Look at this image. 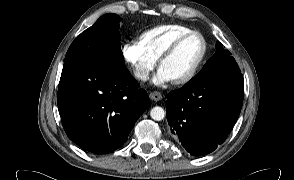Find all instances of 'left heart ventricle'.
I'll return each instance as SVG.
<instances>
[{
    "instance_id": "left-heart-ventricle-1",
    "label": "left heart ventricle",
    "mask_w": 294,
    "mask_h": 180,
    "mask_svg": "<svg viewBox=\"0 0 294 180\" xmlns=\"http://www.w3.org/2000/svg\"><path fill=\"white\" fill-rule=\"evenodd\" d=\"M202 52L201 39L194 35L180 44L176 51L163 62L161 68L172 81L184 77L194 66Z\"/></svg>"
}]
</instances>
